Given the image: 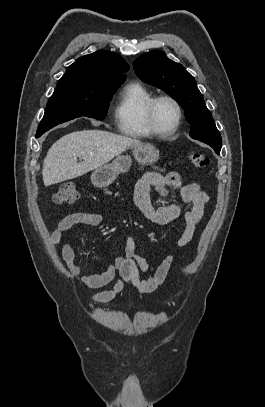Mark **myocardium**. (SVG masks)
I'll use <instances>...</instances> for the list:
<instances>
[{
	"label": "myocardium",
	"instance_id": "f54148a6",
	"mask_svg": "<svg viewBox=\"0 0 265 407\" xmlns=\"http://www.w3.org/2000/svg\"><path fill=\"white\" fill-rule=\"evenodd\" d=\"M163 100H167V101L171 102L177 110L176 122L173 125V127L170 128L169 130H161L158 127L157 122H156V108H157V105L159 104V102H161ZM182 118H183V108H182L180 102L176 98H174L173 96H170V95H159V96L154 97L146 108L147 124H148L150 130L152 131V133L156 136L166 137V136L173 135L180 127Z\"/></svg>",
	"mask_w": 265,
	"mask_h": 407
}]
</instances>
